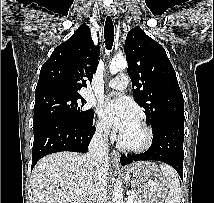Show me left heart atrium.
Instances as JSON below:
<instances>
[{
	"instance_id": "1",
	"label": "left heart atrium",
	"mask_w": 214,
	"mask_h": 203,
	"mask_svg": "<svg viewBox=\"0 0 214 203\" xmlns=\"http://www.w3.org/2000/svg\"><path fill=\"white\" fill-rule=\"evenodd\" d=\"M98 111L105 123L121 135L139 121V115L132 103L121 96L103 102Z\"/></svg>"
}]
</instances>
